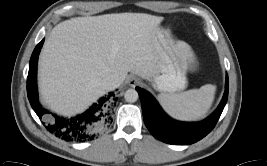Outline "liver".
I'll return each instance as SVG.
<instances>
[{"mask_svg":"<svg viewBox=\"0 0 267 166\" xmlns=\"http://www.w3.org/2000/svg\"><path fill=\"white\" fill-rule=\"evenodd\" d=\"M163 20L145 13H117L56 25L39 59L43 102L57 113L74 115L109 91L103 86L108 76L122 83L132 72L149 80L164 43L159 30ZM175 46L185 59L194 56L188 44Z\"/></svg>","mask_w":267,"mask_h":166,"instance_id":"1","label":"liver"}]
</instances>
